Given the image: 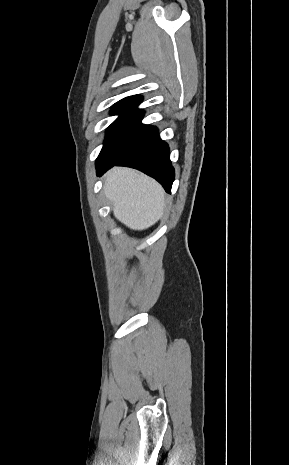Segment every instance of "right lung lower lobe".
Segmentation results:
<instances>
[{"label":"right lung lower lobe","mask_w":289,"mask_h":465,"mask_svg":"<svg viewBox=\"0 0 289 465\" xmlns=\"http://www.w3.org/2000/svg\"><path fill=\"white\" fill-rule=\"evenodd\" d=\"M136 168L155 178L165 189L171 192L174 181V168L171 165L169 147L159 137L158 129L153 127L125 155L116 161L96 162L97 175L101 176L113 166Z\"/></svg>","instance_id":"right-lung-lower-lobe-1"}]
</instances>
